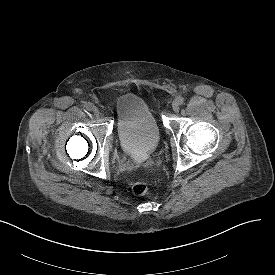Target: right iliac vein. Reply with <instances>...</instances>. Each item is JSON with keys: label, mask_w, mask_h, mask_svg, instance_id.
I'll return each instance as SVG.
<instances>
[{"label": "right iliac vein", "mask_w": 275, "mask_h": 275, "mask_svg": "<svg viewBox=\"0 0 275 275\" xmlns=\"http://www.w3.org/2000/svg\"><path fill=\"white\" fill-rule=\"evenodd\" d=\"M92 112H93V114H94L95 116H98V115H99V109H98L97 107H95V106H93Z\"/></svg>", "instance_id": "right-iliac-vein-1"}]
</instances>
